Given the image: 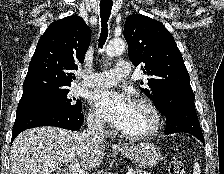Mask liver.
<instances>
[{
	"instance_id": "1",
	"label": "liver",
	"mask_w": 224,
	"mask_h": 174,
	"mask_svg": "<svg viewBox=\"0 0 224 174\" xmlns=\"http://www.w3.org/2000/svg\"><path fill=\"white\" fill-rule=\"evenodd\" d=\"M103 144L88 142L81 133L57 127H38L20 133L10 152V174H51L63 164H79L83 171L98 167Z\"/></svg>"
}]
</instances>
